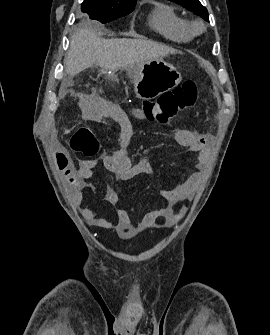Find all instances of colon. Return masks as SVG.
Wrapping results in <instances>:
<instances>
[{"label":"colon","mask_w":270,"mask_h":335,"mask_svg":"<svg viewBox=\"0 0 270 335\" xmlns=\"http://www.w3.org/2000/svg\"><path fill=\"white\" fill-rule=\"evenodd\" d=\"M197 87L194 83L185 82L172 90L163 92L156 100L145 99L140 107L134 109L135 117L148 122L164 123L194 105ZM73 153L94 158L100 151V141L89 127L77 129L70 138Z\"/></svg>","instance_id":"colon-1"}]
</instances>
